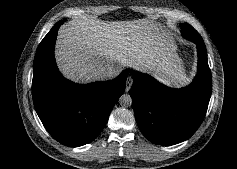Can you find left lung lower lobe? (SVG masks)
Listing matches in <instances>:
<instances>
[{"label":"left lung lower lobe","instance_id":"left-lung-lower-lobe-1","mask_svg":"<svg viewBox=\"0 0 237 169\" xmlns=\"http://www.w3.org/2000/svg\"><path fill=\"white\" fill-rule=\"evenodd\" d=\"M188 40L197 45L198 53L197 75L189 86L172 89L149 75L133 72L130 95L136 121L143 135L155 144L185 141L198 129L207 111L212 77L206 46L198 38Z\"/></svg>","mask_w":237,"mask_h":169}]
</instances>
